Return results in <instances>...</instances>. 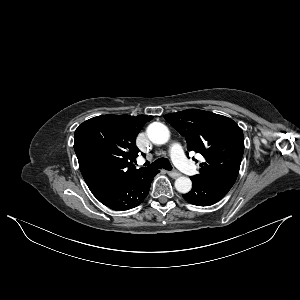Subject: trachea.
Instances as JSON below:
<instances>
[{
	"instance_id": "3493384b",
	"label": "trachea",
	"mask_w": 300,
	"mask_h": 300,
	"mask_svg": "<svg viewBox=\"0 0 300 300\" xmlns=\"http://www.w3.org/2000/svg\"><path fill=\"white\" fill-rule=\"evenodd\" d=\"M165 169V170H172V166L167 158H159L154 161L152 164L148 165V169L156 170V169Z\"/></svg>"
}]
</instances>
